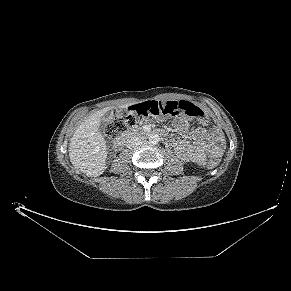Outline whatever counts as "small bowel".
<instances>
[{"label": "small bowel", "instance_id": "c3829d8e", "mask_svg": "<svg viewBox=\"0 0 291 291\" xmlns=\"http://www.w3.org/2000/svg\"><path fill=\"white\" fill-rule=\"evenodd\" d=\"M202 124L204 122L200 121ZM173 128L179 135L188 132V124L184 119H176ZM178 156L188 162L205 165L207 156L210 159H219L224 150V137L220 129L212 128L192 136L191 140L179 139L174 141Z\"/></svg>", "mask_w": 291, "mask_h": 291}]
</instances>
